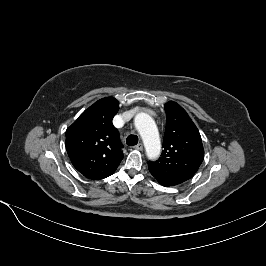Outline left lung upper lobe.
Listing matches in <instances>:
<instances>
[{
    "mask_svg": "<svg viewBox=\"0 0 266 266\" xmlns=\"http://www.w3.org/2000/svg\"><path fill=\"white\" fill-rule=\"evenodd\" d=\"M166 129L161 157L148 162L150 173L163 186H174L197 172L204 159L200 133L186 111L176 102L164 106Z\"/></svg>",
    "mask_w": 266,
    "mask_h": 266,
    "instance_id": "left-lung-upper-lobe-1",
    "label": "left lung upper lobe"
}]
</instances>
